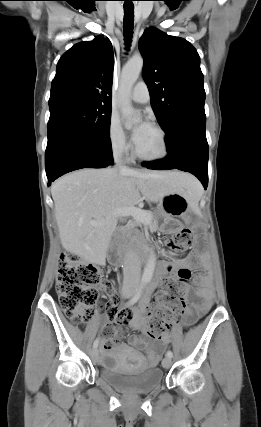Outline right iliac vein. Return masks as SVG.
Listing matches in <instances>:
<instances>
[{"label": "right iliac vein", "mask_w": 261, "mask_h": 427, "mask_svg": "<svg viewBox=\"0 0 261 427\" xmlns=\"http://www.w3.org/2000/svg\"><path fill=\"white\" fill-rule=\"evenodd\" d=\"M133 293H134L133 291L128 290V291H125V292H124V296H125L126 298H128V297L132 296V295H133ZM90 355H91V358H92V360H93L94 362H97V361H98L99 354H98V350H97L96 348L92 349V351H91Z\"/></svg>", "instance_id": "1"}]
</instances>
